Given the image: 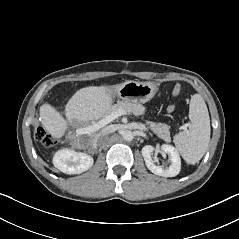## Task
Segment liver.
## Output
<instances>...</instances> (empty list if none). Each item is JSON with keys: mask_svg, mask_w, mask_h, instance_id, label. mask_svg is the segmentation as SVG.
<instances>
[{"mask_svg": "<svg viewBox=\"0 0 239 239\" xmlns=\"http://www.w3.org/2000/svg\"><path fill=\"white\" fill-rule=\"evenodd\" d=\"M113 96L107 86H89L79 89L65 106L66 119L50 104L40 106L41 123L51 135L61 137L68 125L80 126L106 116L112 107ZM98 133L90 135L94 144Z\"/></svg>", "mask_w": 239, "mask_h": 239, "instance_id": "liver-1", "label": "liver"}]
</instances>
